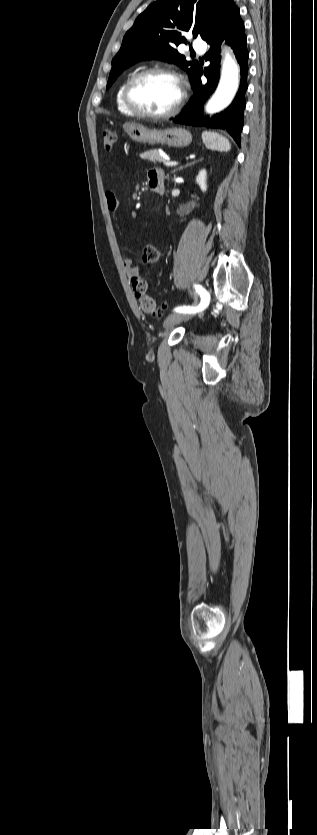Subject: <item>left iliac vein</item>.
<instances>
[{"label": "left iliac vein", "mask_w": 317, "mask_h": 835, "mask_svg": "<svg viewBox=\"0 0 317 835\" xmlns=\"http://www.w3.org/2000/svg\"><path fill=\"white\" fill-rule=\"evenodd\" d=\"M191 316H192V315H191V314H188V313H182V312L173 313V314L169 315V316H168V317L164 320V322H163V327H164L166 330H169V329H171L172 327H174L175 325H177L178 323H180V322H182V321H184V320H188V319H190V318H191Z\"/></svg>", "instance_id": "left-iliac-vein-1"}]
</instances>
